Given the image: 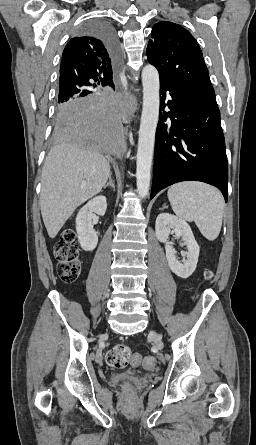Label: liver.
<instances>
[{
	"label": "liver",
	"instance_id": "6515ba94",
	"mask_svg": "<svg viewBox=\"0 0 256 445\" xmlns=\"http://www.w3.org/2000/svg\"><path fill=\"white\" fill-rule=\"evenodd\" d=\"M110 174L105 157L87 152L82 145L61 143L46 157L41 178L40 208L50 238L82 203L98 194Z\"/></svg>",
	"mask_w": 256,
	"mask_h": 445
}]
</instances>
